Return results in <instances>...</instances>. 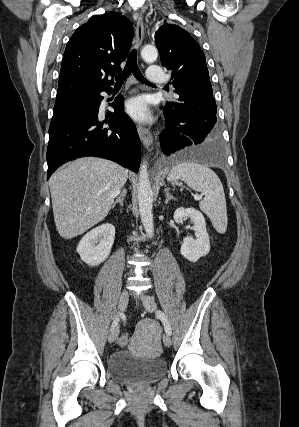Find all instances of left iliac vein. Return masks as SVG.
I'll return each mask as SVG.
<instances>
[{
	"instance_id": "4c4485c4",
	"label": "left iliac vein",
	"mask_w": 299,
	"mask_h": 427,
	"mask_svg": "<svg viewBox=\"0 0 299 427\" xmlns=\"http://www.w3.org/2000/svg\"><path fill=\"white\" fill-rule=\"evenodd\" d=\"M140 299L148 312L156 311L157 305L155 300L151 296L144 294L140 297ZM163 343L166 347H170L172 344L171 337L167 333L163 335Z\"/></svg>"
}]
</instances>
